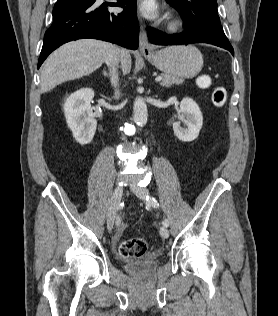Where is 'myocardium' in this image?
<instances>
[{
    "instance_id": "myocardium-1",
    "label": "myocardium",
    "mask_w": 278,
    "mask_h": 316,
    "mask_svg": "<svg viewBox=\"0 0 278 316\" xmlns=\"http://www.w3.org/2000/svg\"><path fill=\"white\" fill-rule=\"evenodd\" d=\"M179 27V22L176 20H173L169 23V29L174 30Z\"/></svg>"
}]
</instances>
